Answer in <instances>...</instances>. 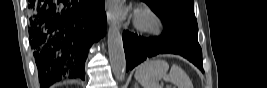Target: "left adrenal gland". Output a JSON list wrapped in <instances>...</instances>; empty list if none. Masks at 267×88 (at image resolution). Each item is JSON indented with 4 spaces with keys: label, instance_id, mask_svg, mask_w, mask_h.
I'll return each mask as SVG.
<instances>
[{
    "label": "left adrenal gland",
    "instance_id": "obj_1",
    "mask_svg": "<svg viewBox=\"0 0 267 88\" xmlns=\"http://www.w3.org/2000/svg\"><path fill=\"white\" fill-rule=\"evenodd\" d=\"M135 88H138V84L137 83L135 84Z\"/></svg>",
    "mask_w": 267,
    "mask_h": 88
}]
</instances>
